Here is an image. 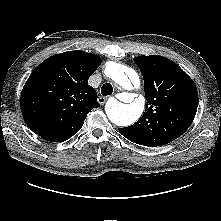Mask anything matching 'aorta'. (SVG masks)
<instances>
[{
    "label": "aorta",
    "instance_id": "obj_1",
    "mask_svg": "<svg viewBox=\"0 0 221 221\" xmlns=\"http://www.w3.org/2000/svg\"><path fill=\"white\" fill-rule=\"evenodd\" d=\"M106 73L122 89L131 90L132 84L139 83L138 74L122 64L111 62L106 66ZM127 103L124 104L117 99H110L106 103L105 111L108 118L118 126H128L137 121L143 113L145 99L139 97L133 99L128 96Z\"/></svg>",
    "mask_w": 221,
    "mask_h": 221
}]
</instances>
